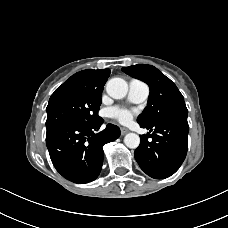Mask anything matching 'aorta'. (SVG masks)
Here are the masks:
<instances>
[{"label": "aorta", "instance_id": "aorta-1", "mask_svg": "<svg viewBox=\"0 0 228 228\" xmlns=\"http://www.w3.org/2000/svg\"><path fill=\"white\" fill-rule=\"evenodd\" d=\"M106 92L114 99H122L128 92V84L122 78H112L106 83ZM124 143L128 148L136 149L140 144V137L135 133H128L124 137Z\"/></svg>", "mask_w": 228, "mask_h": 228}]
</instances>
